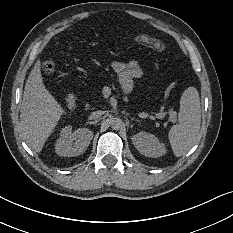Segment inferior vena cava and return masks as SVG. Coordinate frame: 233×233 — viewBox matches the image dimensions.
I'll return each mask as SVG.
<instances>
[{"instance_id": "obj_1", "label": "inferior vena cava", "mask_w": 233, "mask_h": 233, "mask_svg": "<svg viewBox=\"0 0 233 233\" xmlns=\"http://www.w3.org/2000/svg\"><path fill=\"white\" fill-rule=\"evenodd\" d=\"M104 115V111H94L90 114V117L93 118V119H98L99 117L103 116Z\"/></svg>"}]
</instances>
